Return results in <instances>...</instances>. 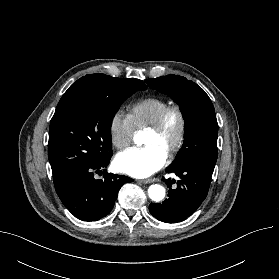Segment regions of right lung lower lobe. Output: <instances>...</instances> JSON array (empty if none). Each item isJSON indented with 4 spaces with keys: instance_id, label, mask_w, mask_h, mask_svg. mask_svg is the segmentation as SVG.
Here are the masks:
<instances>
[{
    "instance_id": "98d812e1",
    "label": "right lung lower lobe",
    "mask_w": 279,
    "mask_h": 279,
    "mask_svg": "<svg viewBox=\"0 0 279 279\" xmlns=\"http://www.w3.org/2000/svg\"><path fill=\"white\" fill-rule=\"evenodd\" d=\"M110 159L85 165L75 169L59 180L54 181L56 192L63 205L82 221H97L110 213L118 191L125 183L133 179L106 173ZM103 179H97L95 173H102Z\"/></svg>"
}]
</instances>
